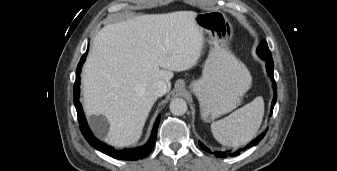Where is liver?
Instances as JSON below:
<instances>
[{"label": "liver", "instance_id": "obj_1", "mask_svg": "<svg viewBox=\"0 0 337 171\" xmlns=\"http://www.w3.org/2000/svg\"><path fill=\"white\" fill-rule=\"evenodd\" d=\"M196 12L146 14L109 24L95 36L82 72L84 110L103 115L110 127L104 141L135 144L157 100L152 85L171 88L173 72L192 68L204 37Z\"/></svg>", "mask_w": 337, "mask_h": 171}]
</instances>
